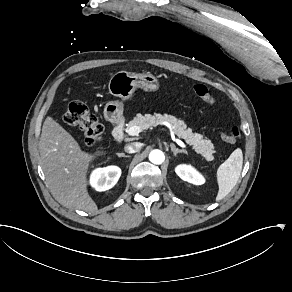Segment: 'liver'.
I'll list each match as a JSON object with an SVG mask.
<instances>
[{"instance_id":"1","label":"liver","mask_w":292,"mask_h":292,"mask_svg":"<svg viewBox=\"0 0 292 292\" xmlns=\"http://www.w3.org/2000/svg\"><path fill=\"white\" fill-rule=\"evenodd\" d=\"M39 150L41 167L53 193L69 207L97 211L86 190L88 165L94 156L81 151L77 141L51 117L43 123Z\"/></svg>"}]
</instances>
